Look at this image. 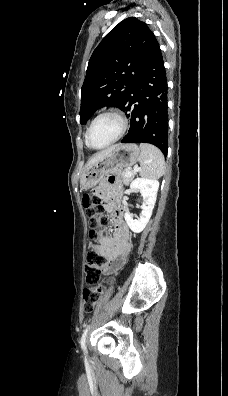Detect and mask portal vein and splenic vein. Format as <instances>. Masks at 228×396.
<instances>
[{"instance_id":"obj_1","label":"portal vein and splenic vein","mask_w":228,"mask_h":396,"mask_svg":"<svg viewBox=\"0 0 228 396\" xmlns=\"http://www.w3.org/2000/svg\"><path fill=\"white\" fill-rule=\"evenodd\" d=\"M138 170V167H135L134 168V171H137ZM132 174V172H130V171H127V175H131Z\"/></svg>"}]
</instances>
